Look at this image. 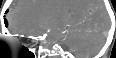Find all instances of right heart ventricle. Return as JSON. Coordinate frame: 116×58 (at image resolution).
Listing matches in <instances>:
<instances>
[{
    "instance_id": "1",
    "label": "right heart ventricle",
    "mask_w": 116,
    "mask_h": 58,
    "mask_svg": "<svg viewBox=\"0 0 116 58\" xmlns=\"http://www.w3.org/2000/svg\"><path fill=\"white\" fill-rule=\"evenodd\" d=\"M33 3H26V6H31Z\"/></svg>"
}]
</instances>
